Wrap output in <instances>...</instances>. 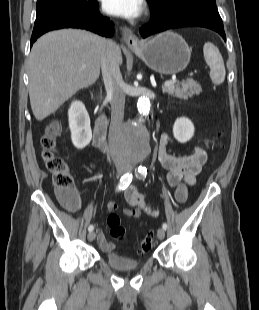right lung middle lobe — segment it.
<instances>
[{
	"label": "right lung middle lobe",
	"mask_w": 259,
	"mask_h": 310,
	"mask_svg": "<svg viewBox=\"0 0 259 310\" xmlns=\"http://www.w3.org/2000/svg\"><path fill=\"white\" fill-rule=\"evenodd\" d=\"M92 1L86 0H38L36 20L52 13L75 12L87 8Z\"/></svg>",
	"instance_id": "obj_1"
}]
</instances>
